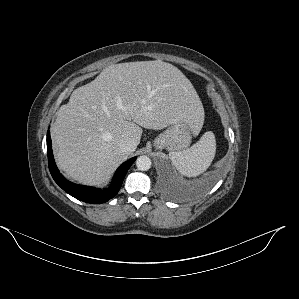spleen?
<instances>
[{
    "mask_svg": "<svg viewBox=\"0 0 299 299\" xmlns=\"http://www.w3.org/2000/svg\"><path fill=\"white\" fill-rule=\"evenodd\" d=\"M216 153V140L213 132L208 131L189 149L170 152L172 164L183 176L196 177L211 165Z\"/></svg>",
    "mask_w": 299,
    "mask_h": 299,
    "instance_id": "1",
    "label": "spleen"
}]
</instances>
